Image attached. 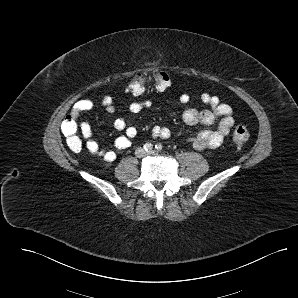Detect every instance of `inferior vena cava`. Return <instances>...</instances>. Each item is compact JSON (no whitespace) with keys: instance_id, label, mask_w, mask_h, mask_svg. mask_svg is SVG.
<instances>
[{"instance_id":"inferior-vena-cava-1","label":"inferior vena cava","mask_w":298,"mask_h":298,"mask_svg":"<svg viewBox=\"0 0 298 298\" xmlns=\"http://www.w3.org/2000/svg\"><path fill=\"white\" fill-rule=\"evenodd\" d=\"M139 150H140V148H138V149L136 150V153H137L139 156H141L142 154L139 152Z\"/></svg>"}]
</instances>
